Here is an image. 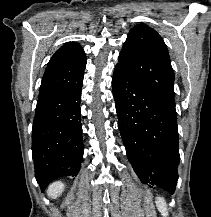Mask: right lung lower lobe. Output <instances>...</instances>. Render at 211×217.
Segmentation results:
<instances>
[{
	"instance_id": "right-lung-lower-lobe-1",
	"label": "right lung lower lobe",
	"mask_w": 211,
	"mask_h": 217,
	"mask_svg": "<svg viewBox=\"0 0 211 217\" xmlns=\"http://www.w3.org/2000/svg\"><path fill=\"white\" fill-rule=\"evenodd\" d=\"M83 74L77 81L37 101L32 127L35 177L43 191L53 180L76 176L83 156L80 99Z\"/></svg>"
}]
</instances>
